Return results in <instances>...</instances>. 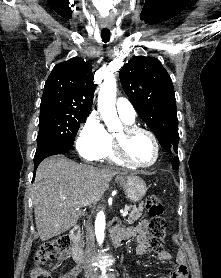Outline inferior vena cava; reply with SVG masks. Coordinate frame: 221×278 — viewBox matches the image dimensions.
<instances>
[{
  "mask_svg": "<svg viewBox=\"0 0 221 278\" xmlns=\"http://www.w3.org/2000/svg\"><path fill=\"white\" fill-rule=\"evenodd\" d=\"M95 254L94 244V232L90 221L86 223V247H85V258L86 262L84 265L85 271H93L94 267L91 265V261Z\"/></svg>",
  "mask_w": 221,
  "mask_h": 278,
  "instance_id": "1",
  "label": "inferior vena cava"
}]
</instances>
